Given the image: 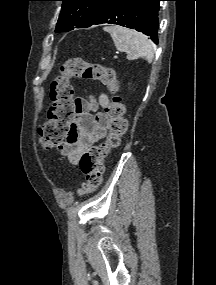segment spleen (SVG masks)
<instances>
[{"label":"spleen","instance_id":"spleen-1","mask_svg":"<svg viewBox=\"0 0 216 285\" xmlns=\"http://www.w3.org/2000/svg\"><path fill=\"white\" fill-rule=\"evenodd\" d=\"M104 31L110 33L118 51L127 53L128 60L144 58L148 63L152 62V44L142 33L120 26H107Z\"/></svg>","mask_w":216,"mask_h":285}]
</instances>
